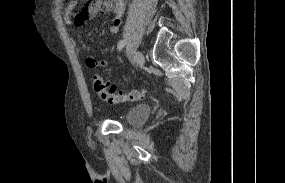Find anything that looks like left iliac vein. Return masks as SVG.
<instances>
[{
  "label": "left iliac vein",
  "instance_id": "4c4485c4",
  "mask_svg": "<svg viewBox=\"0 0 285 183\" xmlns=\"http://www.w3.org/2000/svg\"><path fill=\"white\" fill-rule=\"evenodd\" d=\"M134 61L136 66L142 67L144 65L145 59L144 55L141 51H137L134 55Z\"/></svg>",
  "mask_w": 285,
  "mask_h": 183
}]
</instances>
